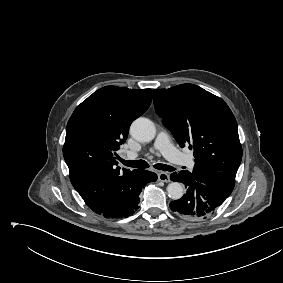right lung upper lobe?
I'll return each instance as SVG.
<instances>
[{
    "label": "right lung upper lobe",
    "instance_id": "obj_1",
    "mask_svg": "<svg viewBox=\"0 0 283 283\" xmlns=\"http://www.w3.org/2000/svg\"><path fill=\"white\" fill-rule=\"evenodd\" d=\"M151 101V89L106 86L71 115L63 156L72 185L95 213L118 206L134 191L138 170H121L115 155L127 139L132 121Z\"/></svg>",
    "mask_w": 283,
    "mask_h": 283
}]
</instances>
